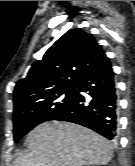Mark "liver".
Returning <instances> with one entry per match:
<instances>
[{
    "mask_svg": "<svg viewBox=\"0 0 135 166\" xmlns=\"http://www.w3.org/2000/svg\"><path fill=\"white\" fill-rule=\"evenodd\" d=\"M29 152L12 166L106 165L112 158L111 143L80 125L50 121L35 127L27 136Z\"/></svg>",
    "mask_w": 135,
    "mask_h": 166,
    "instance_id": "liver-1",
    "label": "liver"
}]
</instances>
